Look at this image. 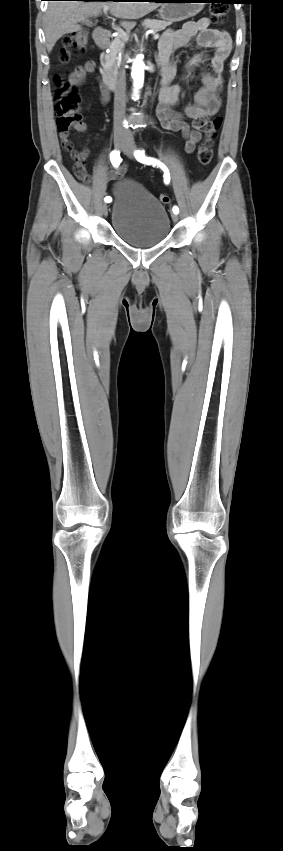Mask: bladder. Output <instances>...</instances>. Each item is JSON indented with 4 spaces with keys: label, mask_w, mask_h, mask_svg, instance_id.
<instances>
[{
    "label": "bladder",
    "mask_w": 283,
    "mask_h": 851,
    "mask_svg": "<svg viewBox=\"0 0 283 851\" xmlns=\"http://www.w3.org/2000/svg\"><path fill=\"white\" fill-rule=\"evenodd\" d=\"M111 225L123 242L137 248L156 246L170 232L163 204L141 184L128 179L116 185Z\"/></svg>",
    "instance_id": "31cf9c89"
}]
</instances>
